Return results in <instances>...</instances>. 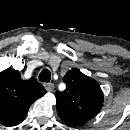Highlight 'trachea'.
<instances>
[{
	"instance_id": "1",
	"label": "trachea",
	"mask_w": 130,
	"mask_h": 130,
	"mask_svg": "<svg viewBox=\"0 0 130 130\" xmlns=\"http://www.w3.org/2000/svg\"><path fill=\"white\" fill-rule=\"evenodd\" d=\"M39 80L42 82H49L51 80V73L48 69H44L39 74Z\"/></svg>"
}]
</instances>
